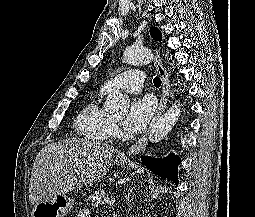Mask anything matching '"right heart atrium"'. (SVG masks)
Segmentation results:
<instances>
[{"mask_svg":"<svg viewBox=\"0 0 255 217\" xmlns=\"http://www.w3.org/2000/svg\"><path fill=\"white\" fill-rule=\"evenodd\" d=\"M112 131H113L114 134H117V133H118L119 130H118L117 124L113 123V125H112Z\"/></svg>","mask_w":255,"mask_h":217,"instance_id":"obj_1","label":"right heart atrium"}]
</instances>
